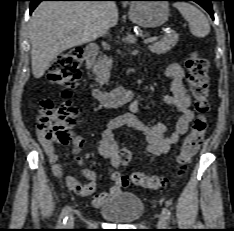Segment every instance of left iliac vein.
<instances>
[{
  "label": "left iliac vein",
  "instance_id": "left-iliac-vein-1",
  "mask_svg": "<svg viewBox=\"0 0 234 231\" xmlns=\"http://www.w3.org/2000/svg\"><path fill=\"white\" fill-rule=\"evenodd\" d=\"M158 226L160 228H166L167 227V219H166L164 214L159 215Z\"/></svg>",
  "mask_w": 234,
  "mask_h": 231
}]
</instances>
